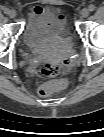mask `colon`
Returning a JSON list of instances; mask_svg holds the SVG:
<instances>
[{"label": "colon", "instance_id": "colon-1", "mask_svg": "<svg viewBox=\"0 0 104 137\" xmlns=\"http://www.w3.org/2000/svg\"><path fill=\"white\" fill-rule=\"evenodd\" d=\"M66 65V62H64ZM36 70L44 77H55L61 72L60 65L42 64L36 65ZM61 88L58 83H46L39 87L38 93L41 96L47 97L55 93Z\"/></svg>", "mask_w": 104, "mask_h": 137}]
</instances>
